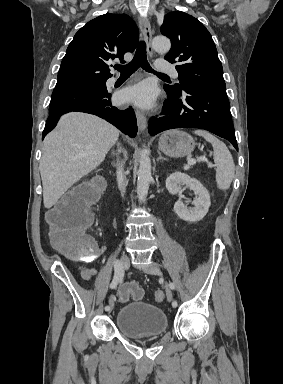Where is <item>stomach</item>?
Masks as SVG:
<instances>
[{
    "instance_id": "stomach-1",
    "label": "stomach",
    "mask_w": 283,
    "mask_h": 384,
    "mask_svg": "<svg viewBox=\"0 0 283 384\" xmlns=\"http://www.w3.org/2000/svg\"><path fill=\"white\" fill-rule=\"evenodd\" d=\"M194 148L193 138L185 132H178V130L165 132L159 140V150L170 158H184V156L191 154Z\"/></svg>"
}]
</instances>
